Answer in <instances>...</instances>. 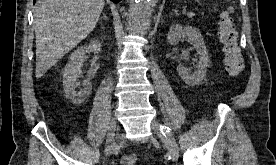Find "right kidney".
Instances as JSON below:
<instances>
[{
	"instance_id": "ca27d5eb",
	"label": "right kidney",
	"mask_w": 276,
	"mask_h": 165,
	"mask_svg": "<svg viewBox=\"0 0 276 165\" xmlns=\"http://www.w3.org/2000/svg\"><path fill=\"white\" fill-rule=\"evenodd\" d=\"M87 51L98 54L101 51V43L97 40L92 41L88 46H81L75 50L69 58V62L64 68L63 73V87L67 98L72 103L79 105L83 103L91 93L92 85L88 80H84L82 87L79 91H76V87L79 86L77 80L83 77L82 66L85 61V53Z\"/></svg>"
}]
</instances>
